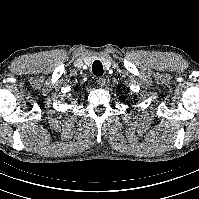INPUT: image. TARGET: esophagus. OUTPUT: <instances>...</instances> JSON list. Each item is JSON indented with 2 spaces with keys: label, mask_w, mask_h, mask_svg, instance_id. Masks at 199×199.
<instances>
[{
  "label": "esophagus",
  "mask_w": 199,
  "mask_h": 199,
  "mask_svg": "<svg viewBox=\"0 0 199 199\" xmlns=\"http://www.w3.org/2000/svg\"><path fill=\"white\" fill-rule=\"evenodd\" d=\"M96 82L100 87H103L106 83V79L104 77H98L96 78Z\"/></svg>",
  "instance_id": "1"
}]
</instances>
